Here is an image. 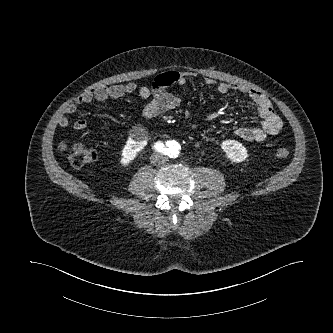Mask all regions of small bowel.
<instances>
[{"label": "small bowel", "instance_id": "obj_1", "mask_svg": "<svg viewBox=\"0 0 333 333\" xmlns=\"http://www.w3.org/2000/svg\"><path fill=\"white\" fill-rule=\"evenodd\" d=\"M192 72L166 71L156 76L152 85L139 86L135 83L118 84L110 87H100L94 91L86 92L77 97L70 104L64 114L59 118L58 124L65 128L70 124L69 116L76 113L78 106L91 102H103L108 99H119L127 95L137 94L142 99H149V102L142 110L145 119H151L165 112L179 107L180 99L168 91L172 85L184 86ZM205 84L215 86L221 94L230 91H237L246 94L251 99L257 115L261 119L259 126H241L236 130V135L246 141L261 142L268 136L277 135L283 127V121L274 111L269 99L261 92L246 88L242 85L227 82H216L212 78H205ZM87 127L85 119H77L73 123L75 130H84Z\"/></svg>", "mask_w": 333, "mask_h": 333}]
</instances>
